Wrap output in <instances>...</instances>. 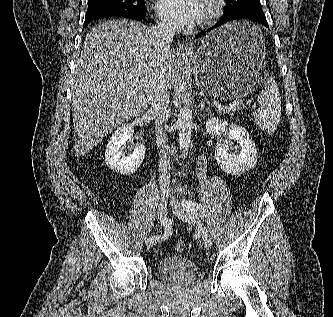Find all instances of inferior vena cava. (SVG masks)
Returning a JSON list of instances; mask_svg holds the SVG:
<instances>
[{"mask_svg":"<svg viewBox=\"0 0 333 317\" xmlns=\"http://www.w3.org/2000/svg\"><path fill=\"white\" fill-rule=\"evenodd\" d=\"M153 33L164 46H170L176 28L167 22H160L152 28ZM151 113L155 117L156 143L159 156V184L161 189L170 187V153L166 140L164 123L169 117V86L163 76H159L154 83L151 103Z\"/></svg>","mask_w":333,"mask_h":317,"instance_id":"inferior-vena-cava-1","label":"inferior vena cava"}]
</instances>
